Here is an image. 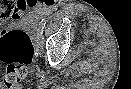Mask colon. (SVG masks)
I'll use <instances>...</instances> for the list:
<instances>
[{
  "instance_id": "5ec220e1",
  "label": "colon",
  "mask_w": 131,
  "mask_h": 89,
  "mask_svg": "<svg viewBox=\"0 0 131 89\" xmlns=\"http://www.w3.org/2000/svg\"><path fill=\"white\" fill-rule=\"evenodd\" d=\"M29 1L0 0V22L16 17L27 6H34ZM34 57V47L29 36L14 30L0 38V70L5 65L3 84L11 89L20 87L28 73V66Z\"/></svg>"
}]
</instances>
